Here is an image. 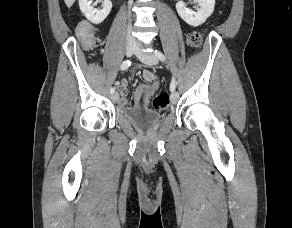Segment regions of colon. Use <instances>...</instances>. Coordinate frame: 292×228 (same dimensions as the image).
Listing matches in <instances>:
<instances>
[{"mask_svg": "<svg viewBox=\"0 0 292 228\" xmlns=\"http://www.w3.org/2000/svg\"><path fill=\"white\" fill-rule=\"evenodd\" d=\"M77 35L86 48H92L95 44V36L90 25L81 24L77 28ZM203 40L201 32H193L188 36V45L196 50L200 47ZM153 106L159 111H163L169 106V95L165 92L159 93L153 99Z\"/></svg>", "mask_w": 292, "mask_h": 228, "instance_id": "obj_1", "label": "colon"}]
</instances>
